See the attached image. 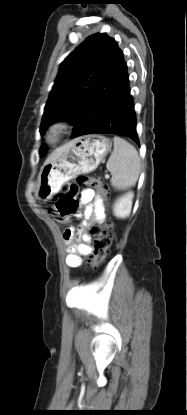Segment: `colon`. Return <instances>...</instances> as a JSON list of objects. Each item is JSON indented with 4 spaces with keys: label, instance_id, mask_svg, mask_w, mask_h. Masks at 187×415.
Returning a JSON list of instances; mask_svg holds the SVG:
<instances>
[{
    "label": "colon",
    "instance_id": "obj_1",
    "mask_svg": "<svg viewBox=\"0 0 187 415\" xmlns=\"http://www.w3.org/2000/svg\"><path fill=\"white\" fill-rule=\"evenodd\" d=\"M78 185L92 188L100 194H105L106 192V188L101 178L79 176L77 178V184L68 186L58 196L56 203V218L61 223L66 222L71 216L75 214L78 209L79 204L76 200V196L79 190ZM92 233L94 240L91 265L93 267H98L106 260L108 256L113 237V224L108 223L103 227H95L93 228Z\"/></svg>",
    "mask_w": 187,
    "mask_h": 415
}]
</instances>
